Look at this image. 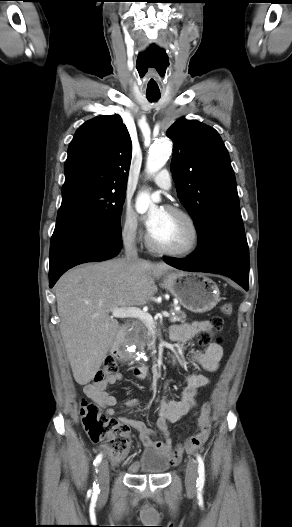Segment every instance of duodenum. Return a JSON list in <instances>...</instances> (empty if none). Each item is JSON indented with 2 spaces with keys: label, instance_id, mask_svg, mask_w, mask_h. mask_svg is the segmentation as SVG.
<instances>
[{
  "label": "duodenum",
  "instance_id": "obj_1",
  "mask_svg": "<svg viewBox=\"0 0 292 527\" xmlns=\"http://www.w3.org/2000/svg\"><path fill=\"white\" fill-rule=\"evenodd\" d=\"M125 334H126V327L123 326V327L119 330V332L117 333V336H116V342H115L114 347H113V349H114V351H115L116 353H119V351H120V350H119V343H120V341L124 338ZM142 373H143V370H142V369H137V370H136V374H137V375H141Z\"/></svg>",
  "mask_w": 292,
  "mask_h": 527
}]
</instances>
